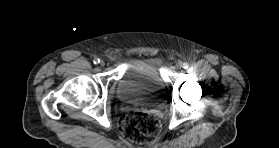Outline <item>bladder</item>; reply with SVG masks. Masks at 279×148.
<instances>
[{"label":"bladder","mask_w":279,"mask_h":148,"mask_svg":"<svg viewBox=\"0 0 279 148\" xmlns=\"http://www.w3.org/2000/svg\"><path fill=\"white\" fill-rule=\"evenodd\" d=\"M162 60L158 57L128 61L118 80L116 95L124 103L161 107L165 103V82L161 75Z\"/></svg>","instance_id":"31cf9c89"}]
</instances>
